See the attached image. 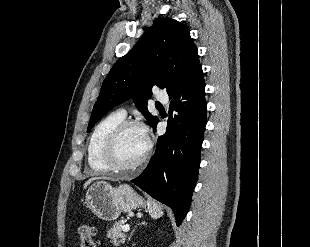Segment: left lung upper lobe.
<instances>
[{"label":"left lung upper lobe","instance_id":"obj_1","mask_svg":"<svg viewBox=\"0 0 310 247\" xmlns=\"http://www.w3.org/2000/svg\"><path fill=\"white\" fill-rule=\"evenodd\" d=\"M200 67L189 28L171 18L156 20L103 81L87 131L114 106L131 97L153 127L158 118L147 111L152 87L165 88L169 94Z\"/></svg>","mask_w":310,"mask_h":247}]
</instances>
